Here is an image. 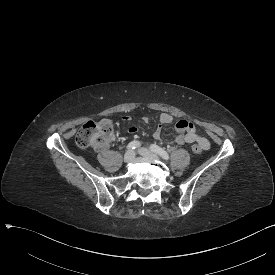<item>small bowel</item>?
<instances>
[{
	"label": "small bowel",
	"instance_id": "1",
	"mask_svg": "<svg viewBox=\"0 0 275 275\" xmlns=\"http://www.w3.org/2000/svg\"><path fill=\"white\" fill-rule=\"evenodd\" d=\"M123 120L128 122L131 120V117L128 115L123 116ZM173 121V117L168 113H163L158 121V125L154 130L153 136L155 139L162 138V127L166 124H169ZM176 131L178 135L174 138L173 143L177 145H185L196 142H203L206 144V149L209 148V142L207 139L199 136L196 131L195 125L186 119H181L175 124ZM138 132V128L136 126H131L128 129V133L130 135H136Z\"/></svg>",
	"mask_w": 275,
	"mask_h": 275
}]
</instances>
